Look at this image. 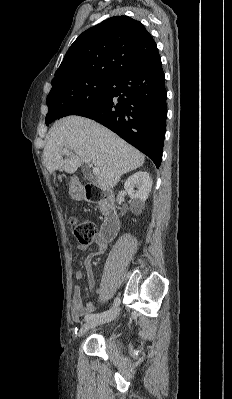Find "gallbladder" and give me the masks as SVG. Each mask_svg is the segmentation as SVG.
I'll return each instance as SVG.
<instances>
[{
    "label": "gallbladder",
    "mask_w": 232,
    "mask_h": 399,
    "mask_svg": "<svg viewBox=\"0 0 232 399\" xmlns=\"http://www.w3.org/2000/svg\"><path fill=\"white\" fill-rule=\"evenodd\" d=\"M81 168L83 169L84 175L88 176L89 173L91 172V169L88 167V165L86 163H83L81 165Z\"/></svg>",
    "instance_id": "gallbladder-1"
}]
</instances>
